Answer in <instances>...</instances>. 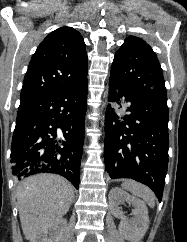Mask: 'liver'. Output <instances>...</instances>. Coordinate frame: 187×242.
Segmentation results:
<instances>
[{
	"label": "liver",
	"mask_w": 187,
	"mask_h": 242,
	"mask_svg": "<svg viewBox=\"0 0 187 242\" xmlns=\"http://www.w3.org/2000/svg\"><path fill=\"white\" fill-rule=\"evenodd\" d=\"M16 195L23 234L33 242L69 211L74 189L58 175L37 174L21 181Z\"/></svg>",
	"instance_id": "1"
}]
</instances>
